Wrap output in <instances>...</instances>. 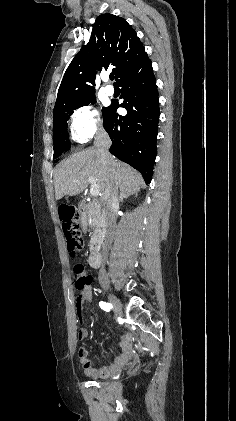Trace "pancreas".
Instances as JSON below:
<instances>
[{
  "label": "pancreas",
  "mask_w": 236,
  "mask_h": 421,
  "mask_svg": "<svg viewBox=\"0 0 236 421\" xmlns=\"http://www.w3.org/2000/svg\"><path fill=\"white\" fill-rule=\"evenodd\" d=\"M86 215L90 229H92V237L89 245L91 253H97L102 245L103 235L105 233L104 211L101 204L97 202H88Z\"/></svg>",
  "instance_id": "obj_1"
}]
</instances>
